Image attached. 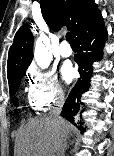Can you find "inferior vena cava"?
Instances as JSON below:
<instances>
[{"mask_svg": "<svg viewBox=\"0 0 114 156\" xmlns=\"http://www.w3.org/2000/svg\"><path fill=\"white\" fill-rule=\"evenodd\" d=\"M64 102H65L64 93L58 92L56 95L54 106L52 107V109L50 110V113H49V116L57 122H59L61 120L60 113H61L62 107L64 105ZM65 149L66 148H65V141H64V143L61 146V150H60V153L58 154V156H64Z\"/></svg>", "mask_w": 114, "mask_h": 156, "instance_id": "inferior-vena-cava-1", "label": "inferior vena cava"}]
</instances>
